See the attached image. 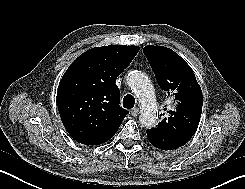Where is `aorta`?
Here are the masks:
<instances>
[{
	"label": "aorta",
	"mask_w": 245,
	"mask_h": 189,
	"mask_svg": "<svg viewBox=\"0 0 245 189\" xmlns=\"http://www.w3.org/2000/svg\"><path fill=\"white\" fill-rule=\"evenodd\" d=\"M127 84L141 104L140 123L152 127L157 120L156 98L149 77L141 71H131L127 76Z\"/></svg>",
	"instance_id": "obj_1"
}]
</instances>
